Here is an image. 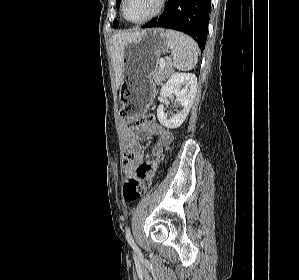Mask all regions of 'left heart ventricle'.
Instances as JSON below:
<instances>
[{"label": "left heart ventricle", "mask_w": 299, "mask_h": 280, "mask_svg": "<svg viewBox=\"0 0 299 280\" xmlns=\"http://www.w3.org/2000/svg\"><path fill=\"white\" fill-rule=\"evenodd\" d=\"M156 5L157 0H127L125 13L130 20H141L151 14Z\"/></svg>", "instance_id": "b2bd125f"}]
</instances>
